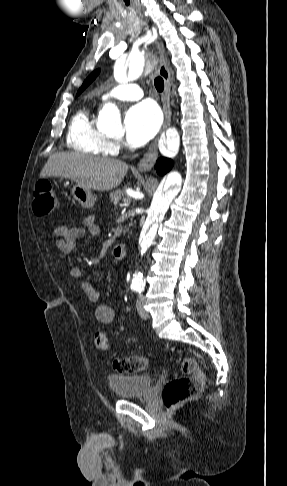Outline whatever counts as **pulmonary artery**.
I'll use <instances>...</instances> for the list:
<instances>
[{
	"label": "pulmonary artery",
	"instance_id": "pulmonary-artery-1",
	"mask_svg": "<svg viewBox=\"0 0 287 486\" xmlns=\"http://www.w3.org/2000/svg\"><path fill=\"white\" fill-rule=\"evenodd\" d=\"M143 97V91L137 84L134 83H125L120 84L106 92L103 96V100L108 99H118V100H127V101H134L138 100Z\"/></svg>",
	"mask_w": 287,
	"mask_h": 486
}]
</instances>
